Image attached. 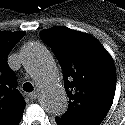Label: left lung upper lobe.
Listing matches in <instances>:
<instances>
[{
    "label": "left lung upper lobe",
    "instance_id": "1",
    "mask_svg": "<svg viewBox=\"0 0 125 125\" xmlns=\"http://www.w3.org/2000/svg\"><path fill=\"white\" fill-rule=\"evenodd\" d=\"M40 36L59 60L68 110L59 118L80 125H99L115 94L116 69L112 57L91 35L56 26Z\"/></svg>",
    "mask_w": 125,
    "mask_h": 125
}]
</instances>
